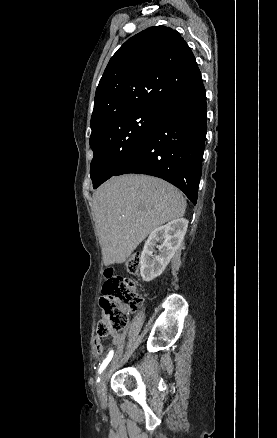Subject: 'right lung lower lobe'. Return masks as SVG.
<instances>
[{"label": "right lung lower lobe", "instance_id": "1", "mask_svg": "<svg viewBox=\"0 0 277 438\" xmlns=\"http://www.w3.org/2000/svg\"><path fill=\"white\" fill-rule=\"evenodd\" d=\"M170 68V64L162 66L166 71ZM206 121V92L201 78L160 105L144 141L113 176L140 173L162 178L196 204Z\"/></svg>", "mask_w": 277, "mask_h": 438}]
</instances>
